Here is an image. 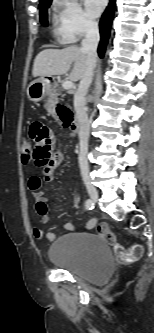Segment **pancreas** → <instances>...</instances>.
I'll list each match as a JSON object with an SVG mask.
<instances>
[{
	"mask_svg": "<svg viewBox=\"0 0 154 333\" xmlns=\"http://www.w3.org/2000/svg\"><path fill=\"white\" fill-rule=\"evenodd\" d=\"M61 94V89H52L48 95L47 102L45 104L46 109L50 113H54L55 106L59 102L58 96Z\"/></svg>",
	"mask_w": 154,
	"mask_h": 333,
	"instance_id": "pancreas-1",
	"label": "pancreas"
}]
</instances>
